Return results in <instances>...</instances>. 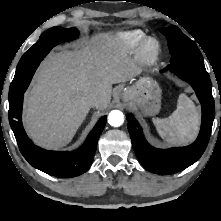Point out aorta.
Wrapping results in <instances>:
<instances>
[{
	"label": "aorta",
	"instance_id": "obj_1",
	"mask_svg": "<svg viewBox=\"0 0 221 221\" xmlns=\"http://www.w3.org/2000/svg\"><path fill=\"white\" fill-rule=\"evenodd\" d=\"M124 122V114L120 110H112L108 115V123L113 127H119Z\"/></svg>",
	"mask_w": 221,
	"mask_h": 221
}]
</instances>
